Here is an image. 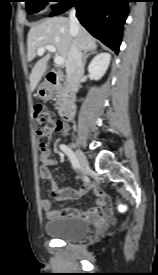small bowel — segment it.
<instances>
[{
    "mask_svg": "<svg viewBox=\"0 0 158 275\" xmlns=\"http://www.w3.org/2000/svg\"><path fill=\"white\" fill-rule=\"evenodd\" d=\"M57 131L62 134H67L68 129L62 123L57 128ZM40 161L42 163L39 173L40 177L44 180L51 182V191L53 196L58 200H77L79 201L83 194L88 191H92L97 198L95 206L90 211H82L78 208H68V209H52L51 200L49 198L41 199L40 205L41 209L49 218H54L58 216H76V217H100L102 215H107L109 212V199L103 194L96 184L93 182H86L84 185L78 188L72 187H59L53 180L51 168L59 164V160L51 155L49 149L41 151Z\"/></svg>",
    "mask_w": 158,
    "mask_h": 275,
    "instance_id": "obj_1",
    "label": "small bowel"
}]
</instances>
